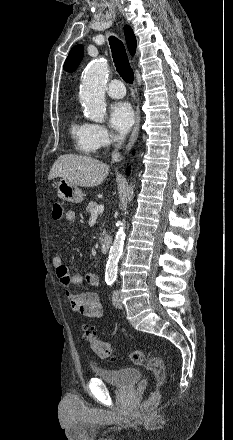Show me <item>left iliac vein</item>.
I'll list each match as a JSON object with an SVG mask.
<instances>
[{
	"instance_id": "1",
	"label": "left iliac vein",
	"mask_w": 233,
	"mask_h": 440,
	"mask_svg": "<svg viewBox=\"0 0 233 440\" xmlns=\"http://www.w3.org/2000/svg\"><path fill=\"white\" fill-rule=\"evenodd\" d=\"M112 302H113V305L118 309H121L123 307L118 291H114L113 296H112Z\"/></svg>"
}]
</instances>
